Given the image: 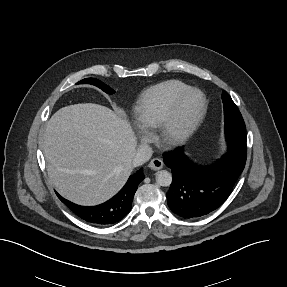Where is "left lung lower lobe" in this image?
I'll return each mask as SVG.
<instances>
[{"mask_svg": "<svg viewBox=\"0 0 287 287\" xmlns=\"http://www.w3.org/2000/svg\"><path fill=\"white\" fill-rule=\"evenodd\" d=\"M227 153L211 165L191 162L183 148L163 155L171 169L172 183L166 193L169 208L177 215L198 218L217 209L230 195L242 173L246 158V129L225 130Z\"/></svg>", "mask_w": 287, "mask_h": 287, "instance_id": "0a47b994", "label": "left lung lower lobe"}]
</instances>
